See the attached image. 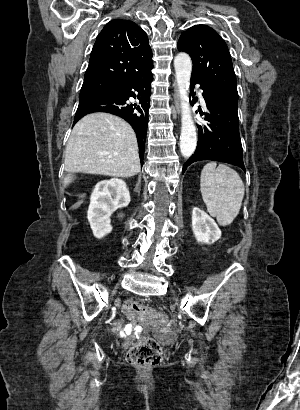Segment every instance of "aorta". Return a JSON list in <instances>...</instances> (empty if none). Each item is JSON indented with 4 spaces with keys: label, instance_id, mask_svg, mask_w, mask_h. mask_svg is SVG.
<instances>
[{
    "label": "aorta",
    "instance_id": "obj_1",
    "mask_svg": "<svg viewBox=\"0 0 300 410\" xmlns=\"http://www.w3.org/2000/svg\"><path fill=\"white\" fill-rule=\"evenodd\" d=\"M174 67L182 110L180 151L185 158H188L195 152L197 145L196 128L191 116L188 97L192 72L190 56L183 52L177 54L174 59Z\"/></svg>",
    "mask_w": 300,
    "mask_h": 410
}]
</instances>
